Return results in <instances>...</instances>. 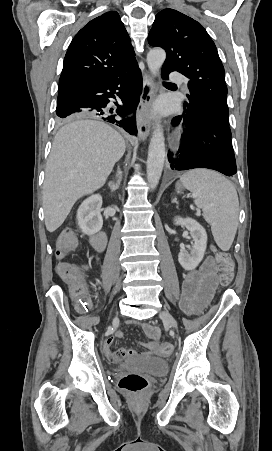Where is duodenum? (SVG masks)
<instances>
[{
    "instance_id": "1",
    "label": "duodenum",
    "mask_w": 272,
    "mask_h": 451,
    "mask_svg": "<svg viewBox=\"0 0 272 451\" xmlns=\"http://www.w3.org/2000/svg\"><path fill=\"white\" fill-rule=\"evenodd\" d=\"M92 246L97 251H103L106 246L107 237L104 232L93 234L90 238Z\"/></svg>"
}]
</instances>
